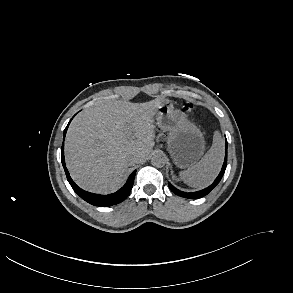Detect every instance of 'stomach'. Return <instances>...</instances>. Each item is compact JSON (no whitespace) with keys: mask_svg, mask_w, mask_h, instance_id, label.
Wrapping results in <instances>:
<instances>
[{"mask_svg":"<svg viewBox=\"0 0 293 293\" xmlns=\"http://www.w3.org/2000/svg\"><path fill=\"white\" fill-rule=\"evenodd\" d=\"M158 127L168 132L167 149L179 168L193 166L203 155L205 139L201 130L191 123L184 112L163 100L156 113Z\"/></svg>","mask_w":293,"mask_h":293,"instance_id":"0dacf381","label":"stomach"}]
</instances>
